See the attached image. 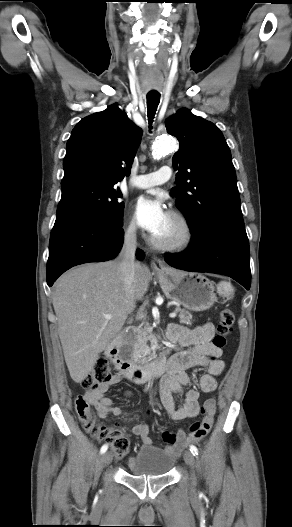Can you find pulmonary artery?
<instances>
[{"instance_id":"obj_1","label":"pulmonary artery","mask_w":292,"mask_h":527,"mask_svg":"<svg viewBox=\"0 0 292 527\" xmlns=\"http://www.w3.org/2000/svg\"><path fill=\"white\" fill-rule=\"evenodd\" d=\"M171 178V168L168 166L161 167L158 171L139 175L134 178L133 185L137 188H150L162 185Z\"/></svg>"}]
</instances>
